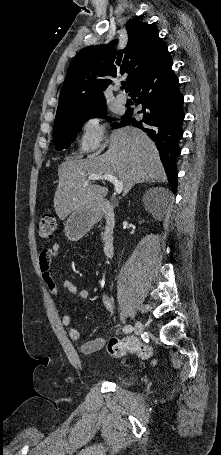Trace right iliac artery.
<instances>
[{"label": "right iliac artery", "instance_id": "1", "mask_svg": "<svg viewBox=\"0 0 221 455\" xmlns=\"http://www.w3.org/2000/svg\"><path fill=\"white\" fill-rule=\"evenodd\" d=\"M103 300H104V303H105V305L107 306V308H108V309H112V308H111V307H112V306H111V301L108 299V297L104 296V297H103ZM132 330H133V327H132L131 325H126V326H124V328H123V332H124V333H130V332H132Z\"/></svg>", "mask_w": 221, "mask_h": 455}]
</instances>
